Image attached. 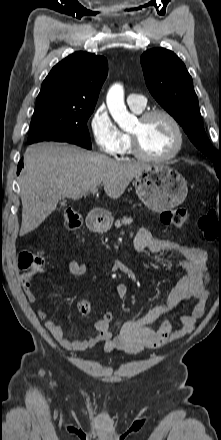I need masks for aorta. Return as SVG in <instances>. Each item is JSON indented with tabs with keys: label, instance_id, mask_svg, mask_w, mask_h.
I'll use <instances>...</instances> for the list:
<instances>
[{
	"label": "aorta",
	"instance_id": "aorta-1",
	"mask_svg": "<svg viewBox=\"0 0 221 440\" xmlns=\"http://www.w3.org/2000/svg\"><path fill=\"white\" fill-rule=\"evenodd\" d=\"M107 107L114 121L122 128L129 126L134 121L124 103V91L120 84L113 85L107 93Z\"/></svg>",
	"mask_w": 221,
	"mask_h": 440
}]
</instances>
